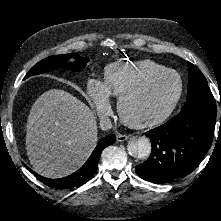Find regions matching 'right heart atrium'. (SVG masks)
Instances as JSON below:
<instances>
[{
    "instance_id": "1",
    "label": "right heart atrium",
    "mask_w": 221,
    "mask_h": 221,
    "mask_svg": "<svg viewBox=\"0 0 221 221\" xmlns=\"http://www.w3.org/2000/svg\"><path fill=\"white\" fill-rule=\"evenodd\" d=\"M87 93L100 118H106L112 113L110 94L103 82L94 79L90 80L87 85Z\"/></svg>"
}]
</instances>
